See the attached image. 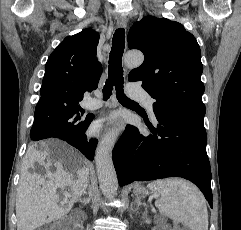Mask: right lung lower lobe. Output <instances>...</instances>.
<instances>
[{
	"instance_id": "right-lung-lower-lobe-1",
	"label": "right lung lower lobe",
	"mask_w": 241,
	"mask_h": 230,
	"mask_svg": "<svg viewBox=\"0 0 241 230\" xmlns=\"http://www.w3.org/2000/svg\"><path fill=\"white\" fill-rule=\"evenodd\" d=\"M37 112L35 111V115ZM92 119L89 118V120L84 124V126L79 130L72 133L67 132H54L45 130V128L41 129V125L36 123L34 120L32 129L30 134H36V133H42L44 136L43 139L46 138H59L70 145L77 148L79 151H81L88 159L93 160L94 158V151L96 149L97 140L96 139H87V136L85 134L88 126L90 125Z\"/></svg>"
}]
</instances>
